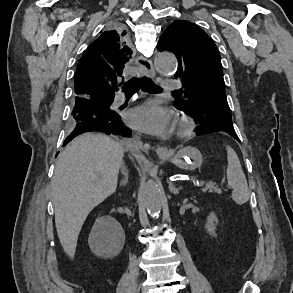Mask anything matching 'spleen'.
<instances>
[{
  "label": "spleen",
  "instance_id": "spleen-1",
  "mask_svg": "<svg viewBox=\"0 0 293 293\" xmlns=\"http://www.w3.org/2000/svg\"><path fill=\"white\" fill-rule=\"evenodd\" d=\"M226 151L228 160L226 174L228 184L233 189L232 199L242 205L248 201L250 196L247 180L236 152L230 146H226Z\"/></svg>",
  "mask_w": 293,
  "mask_h": 293
}]
</instances>
